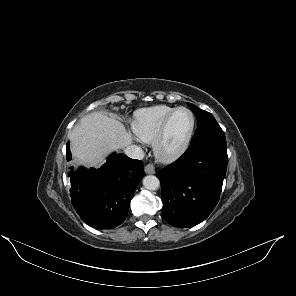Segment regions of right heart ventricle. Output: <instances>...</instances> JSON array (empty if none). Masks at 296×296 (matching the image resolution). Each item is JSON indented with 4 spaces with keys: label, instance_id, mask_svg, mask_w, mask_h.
Segmentation results:
<instances>
[{
    "label": "right heart ventricle",
    "instance_id": "obj_1",
    "mask_svg": "<svg viewBox=\"0 0 296 296\" xmlns=\"http://www.w3.org/2000/svg\"><path fill=\"white\" fill-rule=\"evenodd\" d=\"M174 109L166 105H157L138 110L132 126L139 140L148 144L153 143L163 122Z\"/></svg>",
    "mask_w": 296,
    "mask_h": 296
}]
</instances>
